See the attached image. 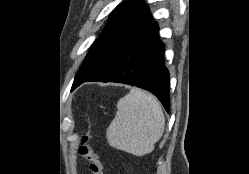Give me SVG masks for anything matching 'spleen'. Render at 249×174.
Masks as SVG:
<instances>
[{"label": "spleen", "instance_id": "obj_1", "mask_svg": "<svg viewBox=\"0 0 249 174\" xmlns=\"http://www.w3.org/2000/svg\"><path fill=\"white\" fill-rule=\"evenodd\" d=\"M165 117L153 95L132 88L117 103L115 118L106 131L111 147L144 156L163 135Z\"/></svg>", "mask_w": 249, "mask_h": 174}]
</instances>
